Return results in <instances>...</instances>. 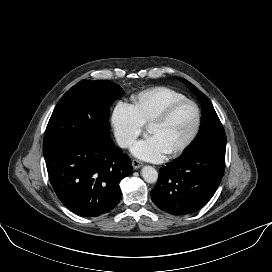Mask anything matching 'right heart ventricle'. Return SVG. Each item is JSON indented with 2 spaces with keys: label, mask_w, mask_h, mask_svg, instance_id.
Returning <instances> with one entry per match:
<instances>
[{
  "label": "right heart ventricle",
  "mask_w": 272,
  "mask_h": 272,
  "mask_svg": "<svg viewBox=\"0 0 272 272\" xmlns=\"http://www.w3.org/2000/svg\"><path fill=\"white\" fill-rule=\"evenodd\" d=\"M187 99L181 92L166 86H157L132 96L131 107L143 125L173 102Z\"/></svg>",
  "instance_id": "right-heart-ventricle-1"
}]
</instances>
